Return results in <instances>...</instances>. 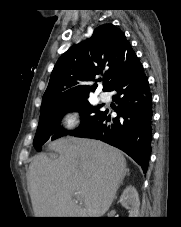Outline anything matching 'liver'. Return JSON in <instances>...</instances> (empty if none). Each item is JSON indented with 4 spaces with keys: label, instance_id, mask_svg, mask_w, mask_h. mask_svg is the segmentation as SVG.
<instances>
[{
    "label": "liver",
    "instance_id": "6515ba94",
    "mask_svg": "<svg viewBox=\"0 0 181 227\" xmlns=\"http://www.w3.org/2000/svg\"><path fill=\"white\" fill-rule=\"evenodd\" d=\"M49 148L59 157L51 159L40 154L29 166L30 197L36 217L104 215L127 170L122 152L98 140L73 137L55 140Z\"/></svg>",
    "mask_w": 181,
    "mask_h": 227
}]
</instances>
